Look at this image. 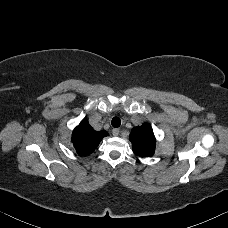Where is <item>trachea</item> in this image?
Masks as SVG:
<instances>
[{
  "label": "trachea",
  "mask_w": 228,
  "mask_h": 228,
  "mask_svg": "<svg viewBox=\"0 0 228 228\" xmlns=\"http://www.w3.org/2000/svg\"><path fill=\"white\" fill-rule=\"evenodd\" d=\"M111 125L114 127V128H118L120 125H121V120L119 117H114L111 121Z\"/></svg>",
  "instance_id": "trachea-1"
}]
</instances>
